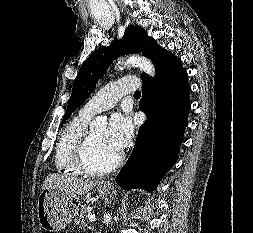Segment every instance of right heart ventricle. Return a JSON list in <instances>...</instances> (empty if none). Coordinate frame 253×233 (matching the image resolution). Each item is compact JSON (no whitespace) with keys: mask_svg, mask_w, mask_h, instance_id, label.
Masks as SVG:
<instances>
[{"mask_svg":"<svg viewBox=\"0 0 253 233\" xmlns=\"http://www.w3.org/2000/svg\"><path fill=\"white\" fill-rule=\"evenodd\" d=\"M91 116L79 113L62 130L56 144L54 163L58 172L64 175L85 174L75 163L78 145L87 133V122Z\"/></svg>","mask_w":253,"mask_h":233,"instance_id":"obj_1","label":"right heart ventricle"}]
</instances>
